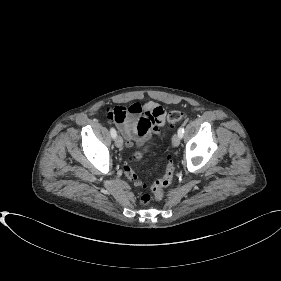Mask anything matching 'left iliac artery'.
<instances>
[{
	"instance_id": "44dca946",
	"label": "left iliac artery",
	"mask_w": 281,
	"mask_h": 281,
	"mask_svg": "<svg viewBox=\"0 0 281 281\" xmlns=\"http://www.w3.org/2000/svg\"><path fill=\"white\" fill-rule=\"evenodd\" d=\"M183 134H184V128L183 127H180L178 129V135L182 138L183 137Z\"/></svg>"
}]
</instances>
